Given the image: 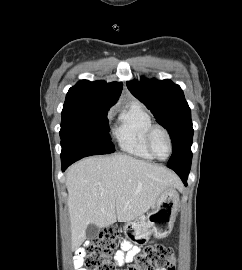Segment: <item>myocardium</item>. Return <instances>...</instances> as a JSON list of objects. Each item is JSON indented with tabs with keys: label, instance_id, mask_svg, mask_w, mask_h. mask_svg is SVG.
I'll use <instances>...</instances> for the list:
<instances>
[{
	"label": "myocardium",
	"instance_id": "f54148a6",
	"mask_svg": "<svg viewBox=\"0 0 242 270\" xmlns=\"http://www.w3.org/2000/svg\"><path fill=\"white\" fill-rule=\"evenodd\" d=\"M157 131H162L166 137H167V140H168V143H169V154L167 157L165 158H160L156 155L155 151H154V148H153V137H154V134L157 132ZM146 145H147V148L149 150V152L151 153V155L157 159V160H160V161H163V160H166L168 159L172 153H173V141H172V137H171V134L170 132L162 125H157V124H154L151 126V128L149 129L148 133H147V136H146Z\"/></svg>",
	"mask_w": 242,
	"mask_h": 270
}]
</instances>
